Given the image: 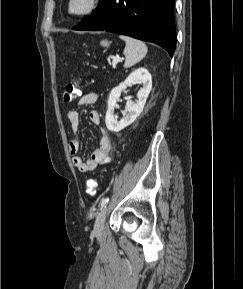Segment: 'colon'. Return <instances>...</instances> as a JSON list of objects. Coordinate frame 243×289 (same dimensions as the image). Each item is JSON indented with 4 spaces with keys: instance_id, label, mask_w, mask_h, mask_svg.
Segmentation results:
<instances>
[{
    "instance_id": "colon-1",
    "label": "colon",
    "mask_w": 243,
    "mask_h": 289,
    "mask_svg": "<svg viewBox=\"0 0 243 289\" xmlns=\"http://www.w3.org/2000/svg\"><path fill=\"white\" fill-rule=\"evenodd\" d=\"M79 80L73 83H69L64 87L63 91V100L66 103L72 102L77 98L81 91L79 88ZM97 191V182L95 179H89L86 183V193L89 196H94Z\"/></svg>"
}]
</instances>
